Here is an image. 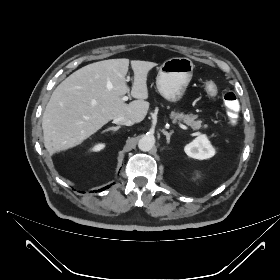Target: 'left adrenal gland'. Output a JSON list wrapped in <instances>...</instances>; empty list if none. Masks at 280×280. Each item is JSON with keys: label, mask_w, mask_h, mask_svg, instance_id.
Here are the masks:
<instances>
[{"label": "left adrenal gland", "mask_w": 280, "mask_h": 280, "mask_svg": "<svg viewBox=\"0 0 280 280\" xmlns=\"http://www.w3.org/2000/svg\"><path fill=\"white\" fill-rule=\"evenodd\" d=\"M162 133L166 136L167 143L169 144V143H170L171 135L173 134V131H171L170 133H168L167 131H165V130L163 129V130H162Z\"/></svg>", "instance_id": "1"}]
</instances>
